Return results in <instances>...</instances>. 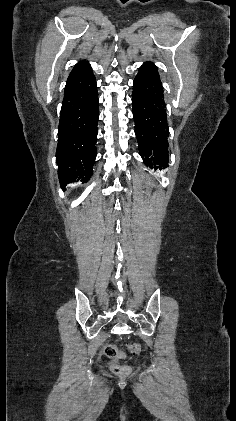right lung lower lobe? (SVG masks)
<instances>
[{"label":"right lung lower lobe","mask_w":236,"mask_h":421,"mask_svg":"<svg viewBox=\"0 0 236 421\" xmlns=\"http://www.w3.org/2000/svg\"><path fill=\"white\" fill-rule=\"evenodd\" d=\"M98 92L92 68L77 63L69 74L61 107L56 162L60 185L87 182L96 157Z\"/></svg>","instance_id":"1"}]
</instances>
